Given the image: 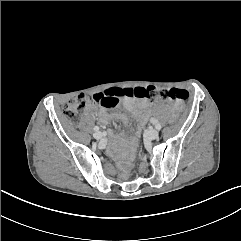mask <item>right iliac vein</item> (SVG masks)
I'll return each instance as SVG.
<instances>
[{
	"mask_svg": "<svg viewBox=\"0 0 241 241\" xmlns=\"http://www.w3.org/2000/svg\"><path fill=\"white\" fill-rule=\"evenodd\" d=\"M93 136L95 139H101L103 135L100 131H97L93 134Z\"/></svg>",
	"mask_w": 241,
	"mask_h": 241,
	"instance_id": "obj_1",
	"label": "right iliac vein"
}]
</instances>
